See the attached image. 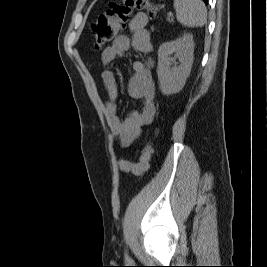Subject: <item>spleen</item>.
Wrapping results in <instances>:
<instances>
[{
	"instance_id": "3e777b00",
	"label": "spleen",
	"mask_w": 267,
	"mask_h": 267,
	"mask_svg": "<svg viewBox=\"0 0 267 267\" xmlns=\"http://www.w3.org/2000/svg\"><path fill=\"white\" fill-rule=\"evenodd\" d=\"M177 20L187 27L203 26L207 22V9L202 0H174Z\"/></svg>"
}]
</instances>
